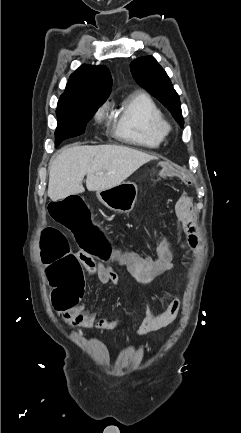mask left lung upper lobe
<instances>
[{"mask_svg":"<svg viewBox=\"0 0 241 433\" xmlns=\"http://www.w3.org/2000/svg\"><path fill=\"white\" fill-rule=\"evenodd\" d=\"M130 69L135 80L163 103L183 127L179 96L156 59L152 56L140 57L130 64Z\"/></svg>","mask_w":241,"mask_h":433,"instance_id":"5c2ea615","label":"left lung upper lobe"}]
</instances>
